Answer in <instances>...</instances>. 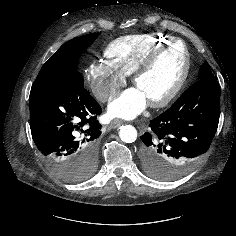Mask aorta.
<instances>
[{"instance_id":"aorta-1","label":"aorta","mask_w":236,"mask_h":236,"mask_svg":"<svg viewBox=\"0 0 236 236\" xmlns=\"http://www.w3.org/2000/svg\"><path fill=\"white\" fill-rule=\"evenodd\" d=\"M119 137L125 143H133L137 139V130L132 125H123L120 127Z\"/></svg>"}]
</instances>
